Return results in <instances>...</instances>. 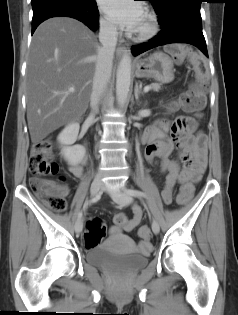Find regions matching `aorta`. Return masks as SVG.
Returning <instances> with one entry per match:
<instances>
[{
  "label": "aorta",
  "mask_w": 238,
  "mask_h": 315,
  "mask_svg": "<svg viewBox=\"0 0 238 315\" xmlns=\"http://www.w3.org/2000/svg\"><path fill=\"white\" fill-rule=\"evenodd\" d=\"M131 83V57L129 52H125L121 58L116 73V95L120 106H123Z\"/></svg>",
  "instance_id": "obj_1"
}]
</instances>
